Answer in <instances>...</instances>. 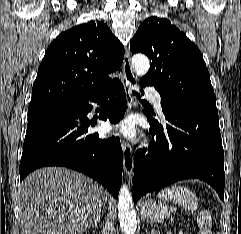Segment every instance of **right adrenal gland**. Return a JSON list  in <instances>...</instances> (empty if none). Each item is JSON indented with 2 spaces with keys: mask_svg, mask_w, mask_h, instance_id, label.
Segmentation results:
<instances>
[{
  "mask_svg": "<svg viewBox=\"0 0 241 234\" xmlns=\"http://www.w3.org/2000/svg\"><path fill=\"white\" fill-rule=\"evenodd\" d=\"M100 218H101V212L98 213V215L94 219V222L92 224H90L89 228L94 227V226L97 228Z\"/></svg>",
  "mask_w": 241,
  "mask_h": 234,
  "instance_id": "right-adrenal-gland-1",
  "label": "right adrenal gland"
}]
</instances>
